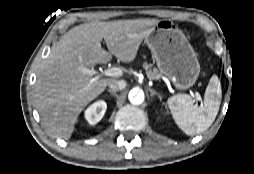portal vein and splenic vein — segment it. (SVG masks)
<instances>
[{"label":"portal vein and splenic vein","instance_id":"portal-vein-and-splenic-vein-1","mask_svg":"<svg viewBox=\"0 0 254 174\" xmlns=\"http://www.w3.org/2000/svg\"><path fill=\"white\" fill-rule=\"evenodd\" d=\"M85 74L88 75H96L98 74L95 70L91 69V70H85L84 71ZM102 75L104 76H109V77H120L123 75V71L121 68L119 67H111V68H107ZM100 76V74L98 75ZM97 79H93L90 83L89 86L92 85ZM195 99L196 101L200 100V95L198 93H195Z\"/></svg>","mask_w":254,"mask_h":174}]
</instances>
